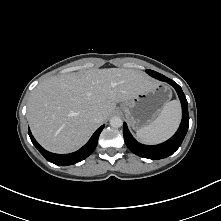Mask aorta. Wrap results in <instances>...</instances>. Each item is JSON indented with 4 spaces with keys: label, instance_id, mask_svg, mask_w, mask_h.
Wrapping results in <instances>:
<instances>
[{
    "label": "aorta",
    "instance_id": "obj_1",
    "mask_svg": "<svg viewBox=\"0 0 221 221\" xmlns=\"http://www.w3.org/2000/svg\"><path fill=\"white\" fill-rule=\"evenodd\" d=\"M110 125L113 127V128H119L123 125V121L120 117L118 116H114L110 119Z\"/></svg>",
    "mask_w": 221,
    "mask_h": 221
}]
</instances>
